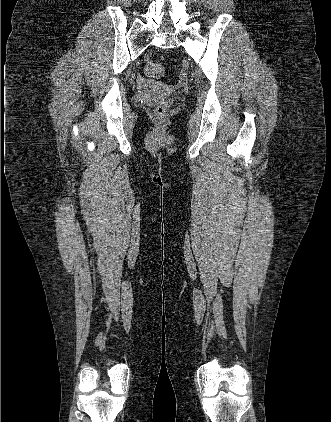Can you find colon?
I'll return each instance as SVG.
<instances>
[{
    "label": "colon",
    "mask_w": 331,
    "mask_h": 422,
    "mask_svg": "<svg viewBox=\"0 0 331 422\" xmlns=\"http://www.w3.org/2000/svg\"><path fill=\"white\" fill-rule=\"evenodd\" d=\"M163 73V65L161 64V62L158 61L149 62L144 69V74L149 78H159L163 75ZM169 107V101L162 102L154 110V115L157 118H163L167 114Z\"/></svg>",
    "instance_id": "colon-1"
}]
</instances>
